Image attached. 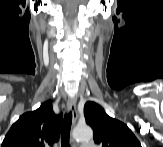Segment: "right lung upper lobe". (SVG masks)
<instances>
[{"instance_id":"right-lung-upper-lobe-1","label":"right lung upper lobe","mask_w":163,"mask_h":147,"mask_svg":"<svg viewBox=\"0 0 163 147\" xmlns=\"http://www.w3.org/2000/svg\"><path fill=\"white\" fill-rule=\"evenodd\" d=\"M63 115H56L51 100L24 113L6 134L2 147H47L58 141Z\"/></svg>"}]
</instances>
